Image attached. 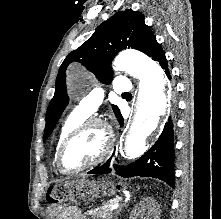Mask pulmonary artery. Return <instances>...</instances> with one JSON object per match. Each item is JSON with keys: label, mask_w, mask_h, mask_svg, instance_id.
<instances>
[{"label": "pulmonary artery", "mask_w": 221, "mask_h": 219, "mask_svg": "<svg viewBox=\"0 0 221 219\" xmlns=\"http://www.w3.org/2000/svg\"><path fill=\"white\" fill-rule=\"evenodd\" d=\"M132 85L128 77L119 75L114 80V91L120 95L131 93ZM104 98L102 89L93 90L75 109L78 113L88 117L95 113L100 107Z\"/></svg>", "instance_id": "e3ab8cb5"}]
</instances>
